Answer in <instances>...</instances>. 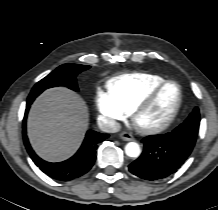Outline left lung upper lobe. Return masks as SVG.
I'll list each match as a JSON object with an SVG mask.
<instances>
[{"label": "left lung upper lobe", "mask_w": 218, "mask_h": 210, "mask_svg": "<svg viewBox=\"0 0 218 210\" xmlns=\"http://www.w3.org/2000/svg\"><path fill=\"white\" fill-rule=\"evenodd\" d=\"M199 123V109L198 107H195L190 116L185 120L184 123L180 125V131L184 132V136H190V138H192V141L195 142L198 135Z\"/></svg>", "instance_id": "1"}]
</instances>
